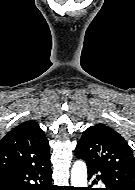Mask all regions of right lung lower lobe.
<instances>
[{
    "label": "right lung lower lobe",
    "mask_w": 135,
    "mask_h": 190,
    "mask_svg": "<svg viewBox=\"0 0 135 190\" xmlns=\"http://www.w3.org/2000/svg\"><path fill=\"white\" fill-rule=\"evenodd\" d=\"M50 162L45 166H16L0 169V190H56Z\"/></svg>",
    "instance_id": "1"
}]
</instances>
